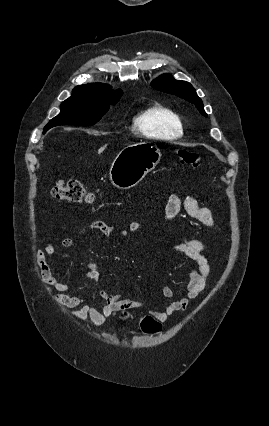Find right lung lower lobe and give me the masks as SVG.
I'll return each instance as SVG.
<instances>
[{
    "label": "right lung lower lobe",
    "instance_id": "obj_1",
    "mask_svg": "<svg viewBox=\"0 0 269 426\" xmlns=\"http://www.w3.org/2000/svg\"><path fill=\"white\" fill-rule=\"evenodd\" d=\"M50 129V128H49ZM49 129H44V133L47 131V130H49Z\"/></svg>",
    "mask_w": 269,
    "mask_h": 426
}]
</instances>
